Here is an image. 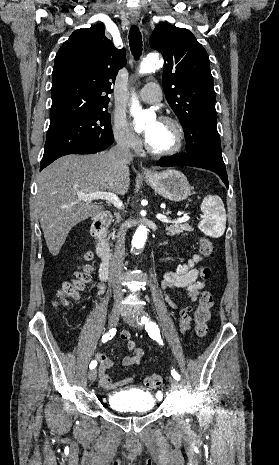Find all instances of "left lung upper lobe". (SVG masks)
<instances>
[{
	"label": "left lung upper lobe",
	"instance_id": "obj_1",
	"mask_svg": "<svg viewBox=\"0 0 279 465\" xmlns=\"http://www.w3.org/2000/svg\"><path fill=\"white\" fill-rule=\"evenodd\" d=\"M150 44L164 57L163 88L183 126L186 152L225 166L216 127L214 82L206 50L188 29L165 22L155 28Z\"/></svg>",
	"mask_w": 279,
	"mask_h": 465
}]
</instances>
